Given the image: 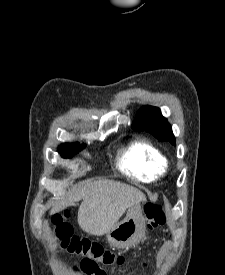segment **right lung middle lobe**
Wrapping results in <instances>:
<instances>
[{
	"label": "right lung middle lobe",
	"instance_id": "dd1d6c3e",
	"mask_svg": "<svg viewBox=\"0 0 225 275\" xmlns=\"http://www.w3.org/2000/svg\"><path fill=\"white\" fill-rule=\"evenodd\" d=\"M79 144H68L64 143L59 146V152L63 158H71L74 155L75 150H77Z\"/></svg>",
	"mask_w": 225,
	"mask_h": 275
}]
</instances>
